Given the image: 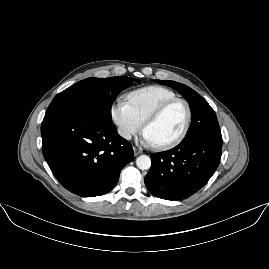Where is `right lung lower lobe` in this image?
Here are the masks:
<instances>
[{"label":"right lung lower lobe","mask_w":269,"mask_h":269,"mask_svg":"<svg viewBox=\"0 0 269 269\" xmlns=\"http://www.w3.org/2000/svg\"><path fill=\"white\" fill-rule=\"evenodd\" d=\"M41 136L43 155L54 176L81 197L109 192L133 159L131 144L112 122L64 104L49 105Z\"/></svg>","instance_id":"98d812e1"}]
</instances>
